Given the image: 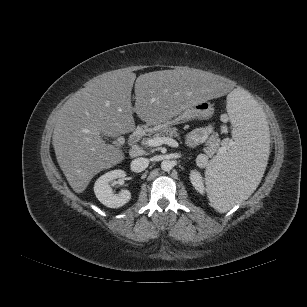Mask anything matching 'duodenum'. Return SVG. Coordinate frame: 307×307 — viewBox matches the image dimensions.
<instances>
[{
  "label": "duodenum",
  "instance_id": "obj_1",
  "mask_svg": "<svg viewBox=\"0 0 307 307\" xmlns=\"http://www.w3.org/2000/svg\"><path fill=\"white\" fill-rule=\"evenodd\" d=\"M145 133H146V130L143 127H140L134 130L129 137V145L136 146L141 141Z\"/></svg>",
  "mask_w": 307,
  "mask_h": 307
}]
</instances>
